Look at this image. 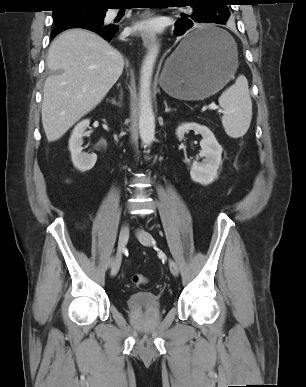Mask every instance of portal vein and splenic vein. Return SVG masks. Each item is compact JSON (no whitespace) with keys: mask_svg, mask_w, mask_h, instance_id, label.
<instances>
[{"mask_svg":"<svg viewBox=\"0 0 306 387\" xmlns=\"http://www.w3.org/2000/svg\"><path fill=\"white\" fill-rule=\"evenodd\" d=\"M209 109H210V110H219L220 108H219V106H217L215 103H211V104L209 105Z\"/></svg>","mask_w":306,"mask_h":387,"instance_id":"18ae733b","label":"portal vein and splenic vein"}]
</instances>
